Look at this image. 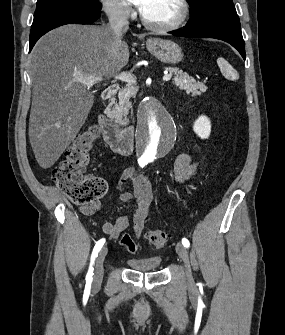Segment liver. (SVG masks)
<instances>
[{
  "instance_id": "1",
  "label": "liver",
  "mask_w": 285,
  "mask_h": 335,
  "mask_svg": "<svg viewBox=\"0 0 285 335\" xmlns=\"http://www.w3.org/2000/svg\"><path fill=\"white\" fill-rule=\"evenodd\" d=\"M126 42L109 26L68 24L40 38L30 54L29 140L41 168H51L76 138L97 90L79 76H117L128 64Z\"/></svg>"
}]
</instances>
